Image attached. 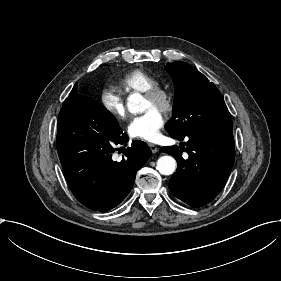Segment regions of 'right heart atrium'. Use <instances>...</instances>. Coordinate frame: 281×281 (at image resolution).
Here are the masks:
<instances>
[{"label": "right heart atrium", "instance_id": "1", "mask_svg": "<svg viewBox=\"0 0 281 281\" xmlns=\"http://www.w3.org/2000/svg\"><path fill=\"white\" fill-rule=\"evenodd\" d=\"M100 102L103 109L112 116L124 118L126 115L125 103L121 95L112 87H104L100 92Z\"/></svg>", "mask_w": 281, "mask_h": 281}]
</instances>
